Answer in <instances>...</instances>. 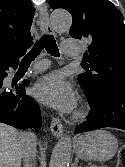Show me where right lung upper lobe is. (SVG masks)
I'll use <instances>...</instances> for the list:
<instances>
[{
  "mask_svg": "<svg viewBox=\"0 0 125 167\" xmlns=\"http://www.w3.org/2000/svg\"><path fill=\"white\" fill-rule=\"evenodd\" d=\"M33 16L31 0H0V66L30 47Z\"/></svg>",
  "mask_w": 125,
  "mask_h": 167,
  "instance_id": "right-lung-upper-lobe-1",
  "label": "right lung upper lobe"
}]
</instances>
